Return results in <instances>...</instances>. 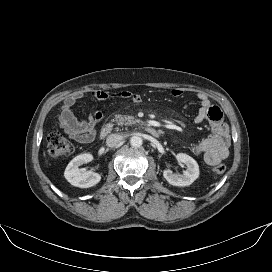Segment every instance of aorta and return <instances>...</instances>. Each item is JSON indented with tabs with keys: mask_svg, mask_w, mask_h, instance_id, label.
Here are the masks:
<instances>
[{
	"mask_svg": "<svg viewBox=\"0 0 272 272\" xmlns=\"http://www.w3.org/2000/svg\"><path fill=\"white\" fill-rule=\"evenodd\" d=\"M142 138L140 136H132L130 139V144L134 148H138L142 145Z\"/></svg>",
	"mask_w": 272,
	"mask_h": 272,
	"instance_id": "1",
	"label": "aorta"
}]
</instances>
